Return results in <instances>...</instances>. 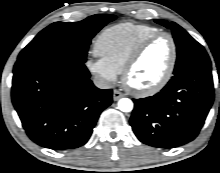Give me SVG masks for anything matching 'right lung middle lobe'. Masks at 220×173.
<instances>
[{
	"mask_svg": "<svg viewBox=\"0 0 220 173\" xmlns=\"http://www.w3.org/2000/svg\"><path fill=\"white\" fill-rule=\"evenodd\" d=\"M116 18L97 14L80 22H55L42 30L19 54L18 58L48 51H64L86 61L88 47L95 34Z\"/></svg>",
	"mask_w": 220,
	"mask_h": 173,
	"instance_id": "1",
	"label": "right lung middle lobe"
}]
</instances>
